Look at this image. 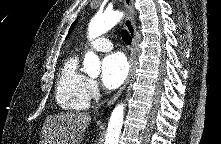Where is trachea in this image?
Returning a JSON list of instances; mask_svg holds the SVG:
<instances>
[{
  "instance_id": "3493384b",
  "label": "trachea",
  "mask_w": 221,
  "mask_h": 144,
  "mask_svg": "<svg viewBox=\"0 0 221 144\" xmlns=\"http://www.w3.org/2000/svg\"><path fill=\"white\" fill-rule=\"evenodd\" d=\"M122 38L125 44L129 45L132 42L130 34L127 32V30L122 31Z\"/></svg>"
}]
</instances>
